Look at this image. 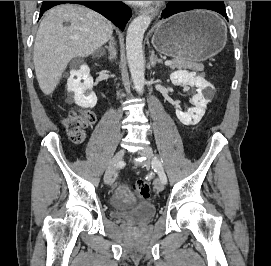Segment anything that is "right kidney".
<instances>
[{
    "mask_svg": "<svg viewBox=\"0 0 271 266\" xmlns=\"http://www.w3.org/2000/svg\"><path fill=\"white\" fill-rule=\"evenodd\" d=\"M93 78L90 69L81 65L70 71L67 81L68 92L74 94V101L77 105L85 108H93L97 104V96L92 92Z\"/></svg>",
    "mask_w": 271,
    "mask_h": 266,
    "instance_id": "obj_1",
    "label": "right kidney"
}]
</instances>
